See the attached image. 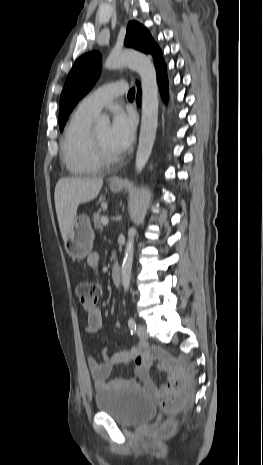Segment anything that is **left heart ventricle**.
<instances>
[{"instance_id":"left-heart-ventricle-1","label":"left heart ventricle","mask_w":263,"mask_h":465,"mask_svg":"<svg viewBox=\"0 0 263 465\" xmlns=\"http://www.w3.org/2000/svg\"><path fill=\"white\" fill-rule=\"evenodd\" d=\"M109 130L108 126L98 128L94 130V133L99 140L102 147L110 154H117L118 152L113 148L109 140Z\"/></svg>"}]
</instances>
